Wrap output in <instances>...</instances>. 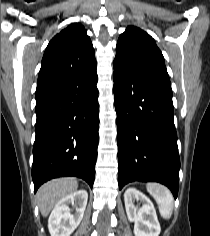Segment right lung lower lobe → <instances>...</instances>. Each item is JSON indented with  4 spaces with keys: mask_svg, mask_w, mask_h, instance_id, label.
Segmentation results:
<instances>
[{
    "mask_svg": "<svg viewBox=\"0 0 210 236\" xmlns=\"http://www.w3.org/2000/svg\"><path fill=\"white\" fill-rule=\"evenodd\" d=\"M96 84L94 68L36 91L35 192L44 182L64 176L80 177L92 188L99 139Z\"/></svg>",
    "mask_w": 210,
    "mask_h": 236,
    "instance_id": "98d812e1",
    "label": "right lung lower lobe"
}]
</instances>
